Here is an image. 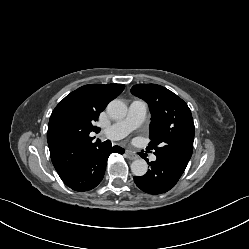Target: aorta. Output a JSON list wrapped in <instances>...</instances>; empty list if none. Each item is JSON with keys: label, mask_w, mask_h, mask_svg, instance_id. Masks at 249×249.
Listing matches in <instances>:
<instances>
[{"label": "aorta", "mask_w": 249, "mask_h": 249, "mask_svg": "<svg viewBox=\"0 0 249 249\" xmlns=\"http://www.w3.org/2000/svg\"><path fill=\"white\" fill-rule=\"evenodd\" d=\"M107 113L113 119H122L127 114V106L123 101L114 99L108 104ZM147 170L148 165L143 159H137L131 163V171L135 176H143L147 173Z\"/></svg>", "instance_id": "aorta-1"}]
</instances>
